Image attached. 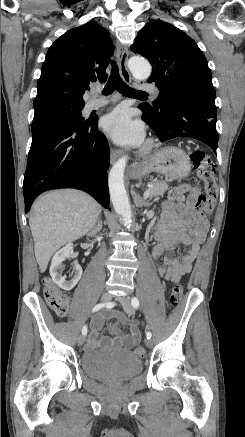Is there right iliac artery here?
<instances>
[{
  "mask_svg": "<svg viewBox=\"0 0 245 437\" xmlns=\"http://www.w3.org/2000/svg\"><path fill=\"white\" fill-rule=\"evenodd\" d=\"M113 306H114V303H112V302H110V303H99V304H97V305L94 306V308L92 309V312H96V311H98L99 309H101V308H103V307L111 308V307H113ZM87 332H88V329H87V326L85 325V326L82 328V334H83V335H86Z\"/></svg>",
  "mask_w": 245,
  "mask_h": 437,
  "instance_id": "1",
  "label": "right iliac artery"
}]
</instances>
